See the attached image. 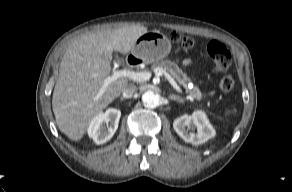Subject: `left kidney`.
<instances>
[{
	"mask_svg": "<svg viewBox=\"0 0 292 192\" xmlns=\"http://www.w3.org/2000/svg\"><path fill=\"white\" fill-rule=\"evenodd\" d=\"M173 128L185 142L193 145L202 144L216 134L205 112L201 110L194 111L192 115H183L175 119Z\"/></svg>",
	"mask_w": 292,
	"mask_h": 192,
	"instance_id": "5707ae66",
	"label": "left kidney"
}]
</instances>
